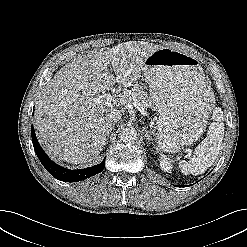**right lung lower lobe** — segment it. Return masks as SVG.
Masks as SVG:
<instances>
[{"label":"right lung lower lobe","instance_id":"right-lung-lower-lobe-1","mask_svg":"<svg viewBox=\"0 0 247 247\" xmlns=\"http://www.w3.org/2000/svg\"><path fill=\"white\" fill-rule=\"evenodd\" d=\"M31 135L34 150L41 161L42 165L46 168V170L56 179L64 182H77L82 179H86L88 177L94 176L100 173L105 168V159L98 165L93 167H89L86 169L79 170H66L60 167L59 165L53 163L47 154L43 151L41 146L38 143V140L35 135L34 127L31 126Z\"/></svg>","mask_w":247,"mask_h":247}]
</instances>
